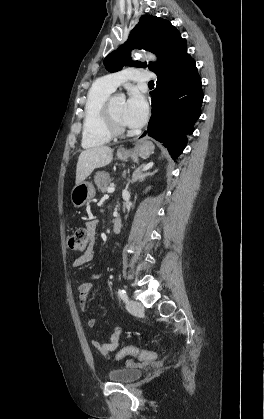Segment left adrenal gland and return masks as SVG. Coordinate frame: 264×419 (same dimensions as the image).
<instances>
[{
  "mask_svg": "<svg viewBox=\"0 0 264 419\" xmlns=\"http://www.w3.org/2000/svg\"><path fill=\"white\" fill-rule=\"evenodd\" d=\"M156 173V171H152V172H150V171H148V172H146V171H144V172H136L134 175H133V178H132V181H131V183H134V182H137L138 180L139 181H142V180H144L146 177H148V176H152V175H154Z\"/></svg>",
  "mask_w": 264,
  "mask_h": 419,
  "instance_id": "1",
  "label": "left adrenal gland"
}]
</instances>
